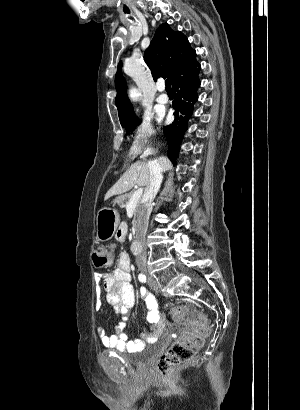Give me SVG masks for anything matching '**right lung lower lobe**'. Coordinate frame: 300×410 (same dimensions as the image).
Here are the masks:
<instances>
[{
    "mask_svg": "<svg viewBox=\"0 0 300 410\" xmlns=\"http://www.w3.org/2000/svg\"><path fill=\"white\" fill-rule=\"evenodd\" d=\"M201 66L196 60L192 65L180 73L172 82L175 99L171 104L175 116L172 124L164 127V134L168 143V157L175 160L179 153V145L188 121L193 115L194 104L198 100L197 90L200 87L199 72Z\"/></svg>",
    "mask_w": 300,
    "mask_h": 410,
    "instance_id": "obj_1",
    "label": "right lung lower lobe"
}]
</instances>
